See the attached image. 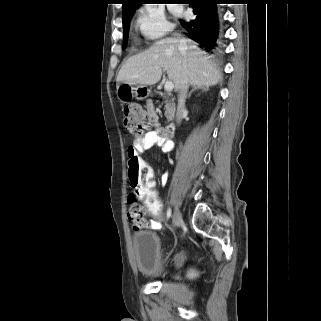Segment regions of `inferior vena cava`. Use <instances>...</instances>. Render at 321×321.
<instances>
[{"label":"inferior vena cava","instance_id":"602c4592","mask_svg":"<svg viewBox=\"0 0 321 321\" xmlns=\"http://www.w3.org/2000/svg\"><path fill=\"white\" fill-rule=\"evenodd\" d=\"M179 50L182 52L184 56V73L181 81L180 92H179V100H178V107H177V115H176V122L179 124L183 118V114L185 112V99L186 93L188 90V71L186 67V42L184 39L179 40Z\"/></svg>","mask_w":321,"mask_h":321}]
</instances>
